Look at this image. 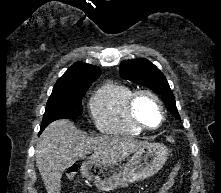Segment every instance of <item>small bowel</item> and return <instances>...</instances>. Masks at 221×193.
<instances>
[{
	"mask_svg": "<svg viewBox=\"0 0 221 193\" xmlns=\"http://www.w3.org/2000/svg\"><path fill=\"white\" fill-rule=\"evenodd\" d=\"M159 193H165V190L163 188H161Z\"/></svg>",
	"mask_w": 221,
	"mask_h": 193,
	"instance_id": "1",
	"label": "small bowel"
}]
</instances>
